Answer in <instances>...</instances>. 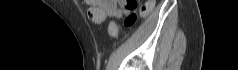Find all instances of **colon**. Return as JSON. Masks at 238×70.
I'll return each mask as SVG.
<instances>
[{"instance_id":"colon-1","label":"colon","mask_w":238,"mask_h":70,"mask_svg":"<svg viewBox=\"0 0 238 70\" xmlns=\"http://www.w3.org/2000/svg\"><path fill=\"white\" fill-rule=\"evenodd\" d=\"M125 6L130 11V13L124 21V26L127 29H131L136 25L139 13L146 15L151 10L153 2L149 1L145 4V7L140 8L138 1L125 0ZM119 29H120L119 21H110L109 27H107V32H109L111 36L116 37L119 33Z\"/></svg>"}]
</instances>
